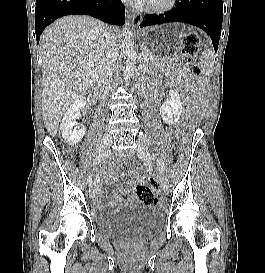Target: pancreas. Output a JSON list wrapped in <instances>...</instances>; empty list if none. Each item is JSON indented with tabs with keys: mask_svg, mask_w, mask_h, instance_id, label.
I'll use <instances>...</instances> for the list:
<instances>
[{
	"mask_svg": "<svg viewBox=\"0 0 265 273\" xmlns=\"http://www.w3.org/2000/svg\"><path fill=\"white\" fill-rule=\"evenodd\" d=\"M145 53L148 54V57L144 58V63L146 64L147 67H151L155 64H160V65H168V63L171 62L170 59L168 58H163V59H156L154 58L151 54L145 51Z\"/></svg>",
	"mask_w": 265,
	"mask_h": 273,
	"instance_id": "obj_1",
	"label": "pancreas"
}]
</instances>
